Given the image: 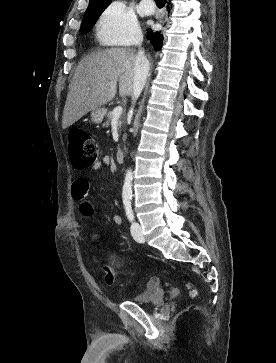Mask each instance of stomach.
I'll use <instances>...</instances> for the list:
<instances>
[{
  "mask_svg": "<svg viewBox=\"0 0 276 363\" xmlns=\"http://www.w3.org/2000/svg\"><path fill=\"white\" fill-rule=\"evenodd\" d=\"M106 114V109L98 107L91 111V120L95 124H100Z\"/></svg>",
  "mask_w": 276,
  "mask_h": 363,
  "instance_id": "0dacf381",
  "label": "stomach"
}]
</instances>
